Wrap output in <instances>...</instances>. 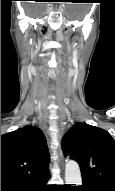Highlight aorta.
Listing matches in <instances>:
<instances>
[{
  "instance_id": "1",
  "label": "aorta",
  "mask_w": 115,
  "mask_h": 191,
  "mask_svg": "<svg viewBox=\"0 0 115 191\" xmlns=\"http://www.w3.org/2000/svg\"><path fill=\"white\" fill-rule=\"evenodd\" d=\"M65 182L72 186H81L82 177L80 167L75 161H68L65 165Z\"/></svg>"
}]
</instances>
